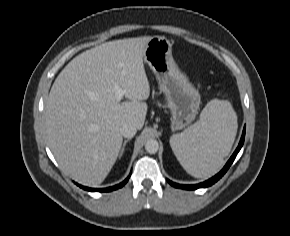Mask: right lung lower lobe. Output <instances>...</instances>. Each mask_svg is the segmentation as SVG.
Masks as SVG:
<instances>
[{"label":"right lung lower lobe","instance_id":"1","mask_svg":"<svg viewBox=\"0 0 290 236\" xmlns=\"http://www.w3.org/2000/svg\"><path fill=\"white\" fill-rule=\"evenodd\" d=\"M129 177L128 176L123 182H121L120 184L118 185H115V186H112V187H108V188H102V189H94V188H88V187H84V186H81L79 185L81 188L87 190V191H97V192H108V191H113V190H116L118 188H121L122 186H124L127 181L129 180Z\"/></svg>","mask_w":290,"mask_h":236}]
</instances>
